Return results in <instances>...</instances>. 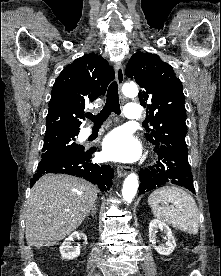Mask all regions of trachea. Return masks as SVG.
I'll use <instances>...</instances> for the list:
<instances>
[{
  "instance_id": "obj_1",
  "label": "trachea",
  "mask_w": 221,
  "mask_h": 276,
  "mask_svg": "<svg viewBox=\"0 0 221 276\" xmlns=\"http://www.w3.org/2000/svg\"><path fill=\"white\" fill-rule=\"evenodd\" d=\"M111 112L117 115L121 114L119 96H118V86L117 82H112L107 91L106 103L98 115H93L91 113L87 114L86 117L94 122L95 125H101L109 117Z\"/></svg>"
}]
</instances>
